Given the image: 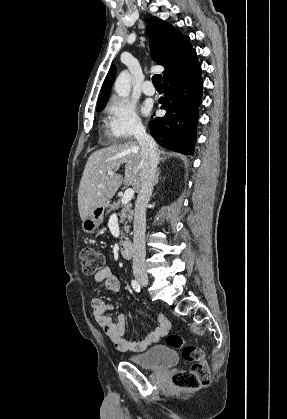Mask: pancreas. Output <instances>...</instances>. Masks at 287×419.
<instances>
[{
  "mask_svg": "<svg viewBox=\"0 0 287 419\" xmlns=\"http://www.w3.org/2000/svg\"><path fill=\"white\" fill-rule=\"evenodd\" d=\"M109 212L110 210H118L121 208L120 212L118 213V216L120 217V223L124 224V230L126 233H129L130 226L129 223L133 220V210L131 203L122 204L121 201L113 202L109 206ZM123 234V233H122ZM122 238H126L127 236L123 234Z\"/></svg>",
  "mask_w": 287,
  "mask_h": 419,
  "instance_id": "pancreas-1",
  "label": "pancreas"
}]
</instances>
